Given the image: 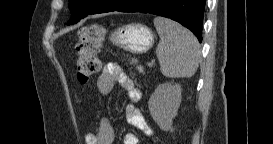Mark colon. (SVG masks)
<instances>
[{
	"instance_id": "5ec220e1",
	"label": "colon",
	"mask_w": 273,
	"mask_h": 144,
	"mask_svg": "<svg viewBox=\"0 0 273 144\" xmlns=\"http://www.w3.org/2000/svg\"><path fill=\"white\" fill-rule=\"evenodd\" d=\"M102 29L91 25L81 29L77 44L76 72L80 83L89 82L100 68L98 50Z\"/></svg>"
}]
</instances>
